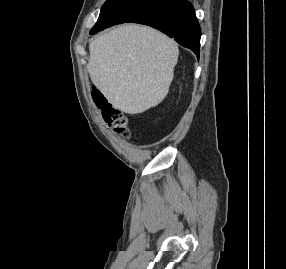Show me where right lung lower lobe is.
<instances>
[{"label": "right lung lower lobe", "instance_id": "1", "mask_svg": "<svg viewBox=\"0 0 286 269\" xmlns=\"http://www.w3.org/2000/svg\"><path fill=\"white\" fill-rule=\"evenodd\" d=\"M127 22L154 27L191 49L199 58L201 29L194 7L187 0H160Z\"/></svg>", "mask_w": 286, "mask_h": 269}]
</instances>
